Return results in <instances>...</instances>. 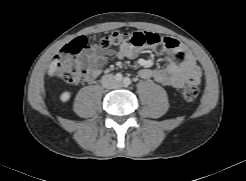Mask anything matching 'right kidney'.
Segmentation results:
<instances>
[{
  "mask_svg": "<svg viewBox=\"0 0 246 181\" xmlns=\"http://www.w3.org/2000/svg\"><path fill=\"white\" fill-rule=\"evenodd\" d=\"M70 97H71V93L66 91L60 95V100L65 103L70 99Z\"/></svg>",
  "mask_w": 246,
  "mask_h": 181,
  "instance_id": "ca27d5eb",
  "label": "right kidney"
}]
</instances>
